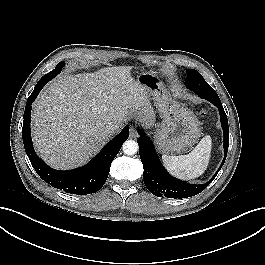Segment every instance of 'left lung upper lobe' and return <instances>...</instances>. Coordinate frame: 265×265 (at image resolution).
I'll return each mask as SVG.
<instances>
[{
	"label": "left lung upper lobe",
	"mask_w": 265,
	"mask_h": 265,
	"mask_svg": "<svg viewBox=\"0 0 265 265\" xmlns=\"http://www.w3.org/2000/svg\"><path fill=\"white\" fill-rule=\"evenodd\" d=\"M186 73H187V78H186V82H185L186 84H188L190 82L191 83L206 82L204 80V78L202 77V75L194 69H187Z\"/></svg>",
	"instance_id": "left-lung-upper-lobe-1"
}]
</instances>
